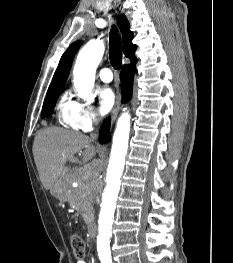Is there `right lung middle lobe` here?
<instances>
[{"instance_id":"obj_1","label":"right lung middle lobe","mask_w":233,"mask_h":263,"mask_svg":"<svg viewBox=\"0 0 233 263\" xmlns=\"http://www.w3.org/2000/svg\"><path fill=\"white\" fill-rule=\"evenodd\" d=\"M61 89L62 87L48 90L42 108V118L48 117L53 113Z\"/></svg>"}]
</instances>
